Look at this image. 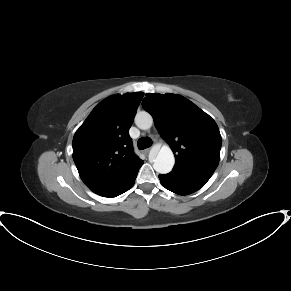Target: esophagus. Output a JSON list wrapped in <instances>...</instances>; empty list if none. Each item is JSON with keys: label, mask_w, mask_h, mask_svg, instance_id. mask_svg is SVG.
I'll return each mask as SVG.
<instances>
[{"label": "esophagus", "mask_w": 291, "mask_h": 291, "mask_svg": "<svg viewBox=\"0 0 291 291\" xmlns=\"http://www.w3.org/2000/svg\"><path fill=\"white\" fill-rule=\"evenodd\" d=\"M149 151H150V149H149V148H148V149H145V150H144V153H145V154H148V153H149Z\"/></svg>", "instance_id": "34e87169"}]
</instances>
